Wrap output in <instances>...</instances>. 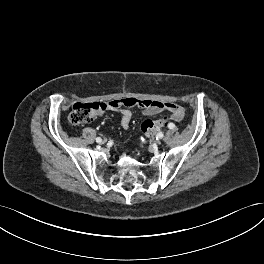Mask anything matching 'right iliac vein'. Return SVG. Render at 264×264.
<instances>
[{
	"label": "right iliac vein",
	"instance_id": "1",
	"mask_svg": "<svg viewBox=\"0 0 264 264\" xmlns=\"http://www.w3.org/2000/svg\"><path fill=\"white\" fill-rule=\"evenodd\" d=\"M108 142V139L105 137L103 140H102V142H101V144H106Z\"/></svg>",
	"mask_w": 264,
	"mask_h": 264
}]
</instances>
